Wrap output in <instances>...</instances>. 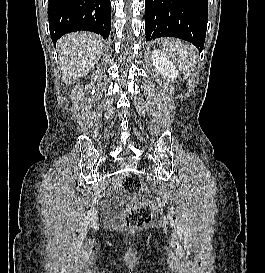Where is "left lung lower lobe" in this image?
Masks as SVG:
<instances>
[{"label": "left lung lower lobe", "instance_id": "left-lung-lower-lobe-1", "mask_svg": "<svg viewBox=\"0 0 265 273\" xmlns=\"http://www.w3.org/2000/svg\"><path fill=\"white\" fill-rule=\"evenodd\" d=\"M208 0H145L146 40L176 37L203 49Z\"/></svg>", "mask_w": 265, "mask_h": 273}]
</instances>
